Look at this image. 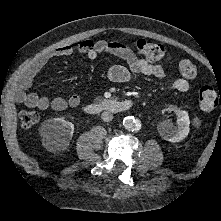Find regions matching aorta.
<instances>
[{"instance_id":"obj_1","label":"aorta","mask_w":221,"mask_h":221,"mask_svg":"<svg viewBox=\"0 0 221 221\" xmlns=\"http://www.w3.org/2000/svg\"><path fill=\"white\" fill-rule=\"evenodd\" d=\"M123 126L128 131H138L141 129V122L133 116H127L123 119Z\"/></svg>"}]
</instances>
